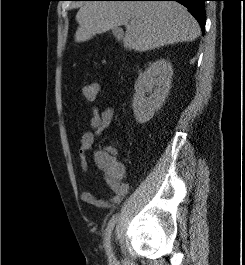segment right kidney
I'll return each instance as SVG.
<instances>
[{"label": "right kidney", "instance_id": "obj_1", "mask_svg": "<svg viewBox=\"0 0 245 265\" xmlns=\"http://www.w3.org/2000/svg\"><path fill=\"white\" fill-rule=\"evenodd\" d=\"M172 75V65L165 59L153 62L139 75L132 104L137 123H146L161 108L169 93Z\"/></svg>", "mask_w": 245, "mask_h": 265}]
</instances>
